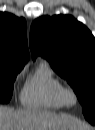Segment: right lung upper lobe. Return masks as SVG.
Returning <instances> with one entry per match:
<instances>
[{"label": "right lung upper lobe", "instance_id": "obj_1", "mask_svg": "<svg viewBox=\"0 0 95 130\" xmlns=\"http://www.w3.org/2000/svg\"><path fill=\"white\" fill-rule=\"evenodd\" d=\"M28 59L25 19L0 13V67L23 68Z\"/></svg>", "mask_w": 95, "mask_h": 130}]
</instances>
